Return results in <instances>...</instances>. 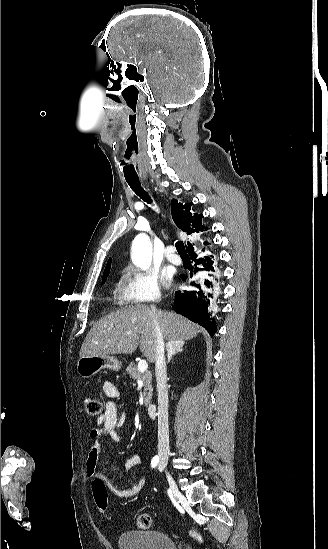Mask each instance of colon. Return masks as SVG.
<instances>
[{
  "instance_id": "5ec220e1",
  "label": "colon",
  "mask_w": 328,
  "mask_h": 549,
  "mask_svg": "<svg viewBox=\"0 0 328 549\" xmlns=\"http://www.w3.org/2000/svg\"><path fill=\"white\" fill-rule=\"evenodd\" d=\"M85 411L90 416L99 415L102 411V404L96 397H86L84 400ZM92 490L97 508L104 513L108 507L107 485L103 479H95L92 484ZM151 526V517L147 513H142L137 518V527L139 529H148ZM193 536L200 538L196 533Z\"/></svg>"
}]
</instances>
